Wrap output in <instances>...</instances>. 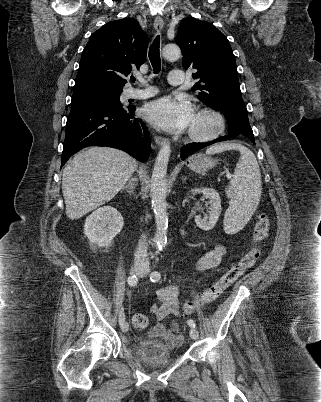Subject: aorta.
Instances as JSON below:
<instances>
[{"mask_svg":"<svg viewBox=\"0 0 321 402\" xmlns=\"http://www.w3.org/2000/svg\"><path fill=\"white\" fill-rule=\"evenodd\" d=\"M162 54L167 60H176L180 57L181 50L176 45H166L162 50ZM170 154V145L169 143H165L156 157L150 184V197L156 222L154 241L156 245L161 248L165 246L167 242L168 214L166 210V174Z\"/></svg>","mask_w":321,"mask_h":402,"instance_id":"1","label":"aorta"}]
</instances>
